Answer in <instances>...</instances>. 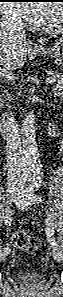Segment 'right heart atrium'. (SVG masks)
<instances>
[{
	"label": "right heart atrium",
	"mask_w": 63,
	"mask_h": 297,
	"mask_svg": "<svg viewBox=\"0 0 63 297\" xmlns=\"http://www.w3.org/2000/svg\"><path fill=\"white\" fill-rule=\"evenodd\" d=\"M3 14L7 19L12 21H20L22 17L21 12L14 7L3 8Z\"/></svg>",
	"instance_id": "right-heart-atrium-1"
}]
</instances>
